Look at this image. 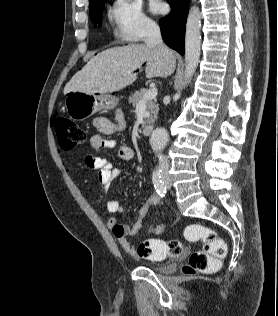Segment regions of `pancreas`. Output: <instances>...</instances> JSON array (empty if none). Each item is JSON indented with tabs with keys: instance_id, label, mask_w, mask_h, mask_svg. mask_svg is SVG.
<instances>
[{
	"instance_id": "pancreas-1",
	"label": "pancreas",
	"mask_w": 278,
	"mask_h": 316,
	"mask_svg": "<svg viewBox=\"0 0 278 316\" xmlns=\"http://www.w3.org/2000/svg\"><path fill=\"white\" fill-rule=\"evenodd\" d=\"M146 89H141L140 91H136L129 97V103H132L133 107H135L144 97L146 93ZM147 110L150 113V116L145 119L143 126L146 124H151L154 122L155 119H157L158 114V103H156L155 100H147L146 101Z\"/></svg>"
}]
</instances>
